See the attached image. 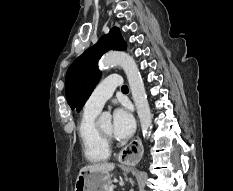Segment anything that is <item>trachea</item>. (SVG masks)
<instances>
[{
  "label": "trachea",
  "instance_id": "trachea-1",
  "mask_svg": "<svg viewBox=\"0 0 233 191\" xmlns=\"http://www.w3.org/2000/svg\"><path fill=\"white\" fill-rule=\"evenodd\" d=\"M122 91H123V92L128 91V87H127L126 85H123V86H122Z\"/></svg>",
  "mask_w": 233,
  "mask_h": 191
}]
</instances>
